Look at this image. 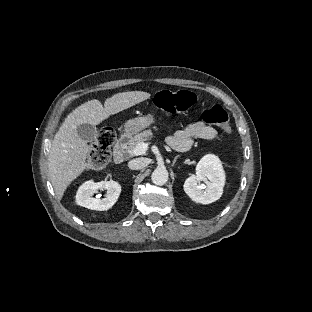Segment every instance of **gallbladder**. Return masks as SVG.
<instances>
[{
    "label": "gallbladder",
    "instance_id": "1",
    "mask_svg": "<svg viewBox=\"0 0 312 312\" xmlns=\"http://www.w3.org/2000/svg\"><path fill=\"white\" fill-rule=\"evenodd\" d=\"M78 136L86 142H92L97 137V128L90 124H81L77 127Z\"/></svg>",
    "mask_w": 312,
    "mask_h": 312
}]
</instances>
